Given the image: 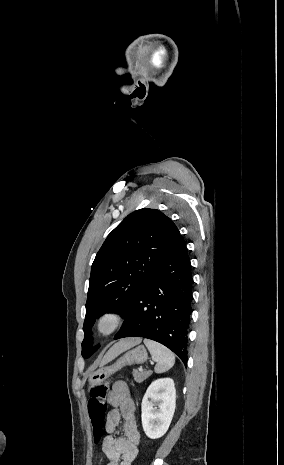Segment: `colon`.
<instances>
[{
	"instance_id": "colon-1",
	"label": "colon",
	"mask_w": 284,
	"mask_h": 465,
	"mask_svg": "<svg viewBox=\"0 0 284 465\" xmlns=\"http://www.w3.org/2000/svg\"><path fill=\"white\" fill-rule=\"evenodd\" d=\"M108 393V387L105 383L94 384L90 387L89 391V420L91 423L93 438H102L104 435L103 430H107L108 423L106 420L105 412L106 407V396Z\"/></svg>"
}]
</instances>
